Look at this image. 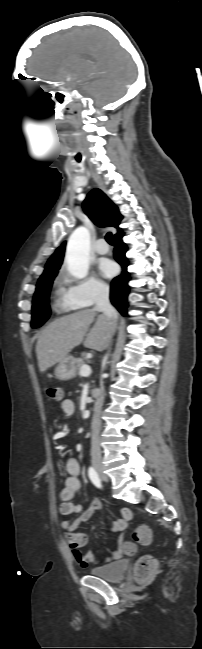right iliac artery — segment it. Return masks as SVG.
<instances>
[{
	"mask_svg": "<svg viewBox=\"0 0 202 649\" xmlns=\"http://www.w3.org/2000/svg\"><path fill=\"white\" fill-rule=\"evenodd\" d=\"M88 475H89V478H90L91 482H92L96 487H98V488H101V487H102V484H101V480H100V478H99V475H98V473L96 472V470H95L93 467H90V468H89V470H88Z\"/></svg>",
	"mask_w": 202,
	"mask_h": 649,
	"instance_id": "82829eb1",
	"label": "right iliac artery"
}]
</instances>
